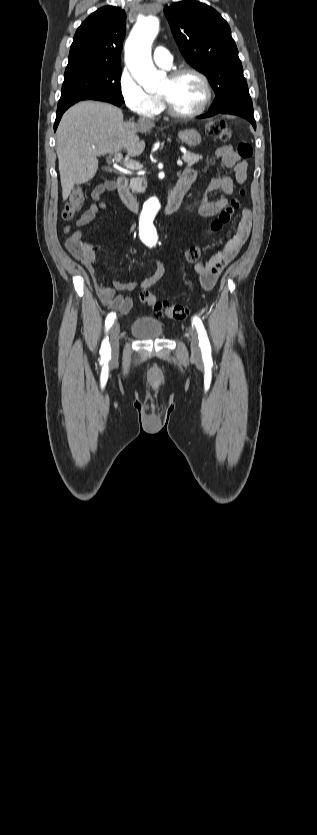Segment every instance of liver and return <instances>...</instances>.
Returning a JSON list of instances; mask_svg holds the SVG:
<instances>
[{
	"label": "liver",
	"mask_w": 317,
	"mask_h": 835,
	"mask_svg": "<svg viewBox=\"0 0 317 835\" xmlns=\"http://www.w3.org/2000/svg\"><path fill=\"white\" fill-rule=\"evenodd\" d=\"M153 126L123 122L121 109L108 103L82 101L70 107L56 131L63 200L75 184L86 183L95 176L97 156L123 149L128 156H140L145 143L137 134L146 133Z\"/></svg>",
	"instance_id": "1"
}]
</instances>
